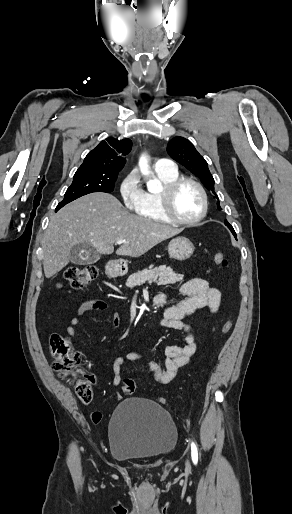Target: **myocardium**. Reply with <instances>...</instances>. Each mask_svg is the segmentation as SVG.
I'll use <instances>...</instances> for the list:
<instances>
[{
    "label": "myocardium",
    "mask_w": 292,
    "mask_h": 514,
    "mask_svg": "<svg viewBox=\"0 0 292 514\" xmlns=\"http://www.w3.org/2000/svg\"><path fill=\"white\" fill-rule=\"evenodd\" d=\"M184 185H191L195 187L200 195L201 200V208L199 214L191 219V220H182L178 218L175 213L173 212L172 208V198L176 190H178L180 187ZM157 200L160 206V209L167 219L168 222L182 225V226H191L198 222H200L206 215L207 212V195L203 188V186L188 178H178L171 183L163 185L162 189L157 193Z\"/></svg>",
    "instance_id": "myocardium-1"
}]
</instances>
